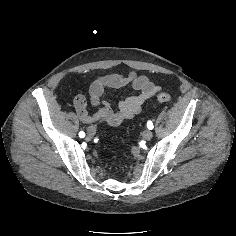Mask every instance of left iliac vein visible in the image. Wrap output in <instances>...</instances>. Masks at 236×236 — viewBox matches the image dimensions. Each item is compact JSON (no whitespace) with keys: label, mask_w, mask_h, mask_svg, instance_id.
I'll return each instance as SVG.
<instances>
[{"label":"left iliac vein","mask_w":236,"mask_h":236,"mask_svg":"<svg viewBox=\"0 0 236 236\" xmlns=\"http://www.w3.org/2000/svg\"><path fill=\"white\" fill-rule=\"evenodd\" d=\"M142 137H143V139H145V140H151L152 139V137H153V133L151 132V131H149V130H145V131H143V133H142Z\"/></svg>","instance_id":"4c4485c4"}]
</instances>
